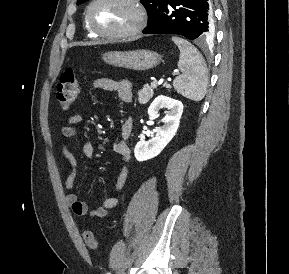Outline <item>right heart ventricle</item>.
<instances>
[{"label":"right heart ventricle","instance_id":"obj_1","mask_svg":"<svg viewBox=\"0 0 289 274\" xmlns=\"http://www.w3.org/2000/svg\"><path fill=\"white\" fill-rule=\"evenodd\" d=\"M85 28H86V30L88 31V33H89L90 36H94V34L89 30V28H88V26H87L86 23H85Z\"/></svg>","mask_w":289,"mask_h":274}]
</instances>
